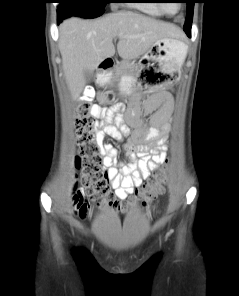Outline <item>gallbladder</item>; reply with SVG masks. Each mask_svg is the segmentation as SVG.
I'll return each mask as SVG.
<instances>
[{
  "label": "gallbladder",
  "instance_id": "obj_1",
  "mask_svg": "<svg viewBox=\"0 0 239 296\" xmlns=\"http://www.w3.org/2000/svg\"><path fill=\"white\" fill-rule=\"evenodd\" d=\"M85 78H86L87 82H90L92 80L93 76H92V74H86Z\"/></svg>",
  "mask_w": 239,
  "mask_h": 296
}]
</instances>
